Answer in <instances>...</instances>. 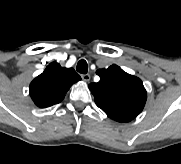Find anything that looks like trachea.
Wrapping results in <instances>:
<instances>
[{
    "label": "trachea",
    "mask_w": 181,
    "mask_h": 164,
    "mask_svg": "<svg viewBox=\"0 0 181 164\" xmlns=\"http://www.w3.org/2000/svg\"><path fill=\"white\" fill-rule=\"evenodd\" d=\"M76 70L79 73L86 74L88 72V64H87L86 60H84V59L79 60Z\"/></svg>",
    "instance_id": "obj_1"
}]
</instances>
